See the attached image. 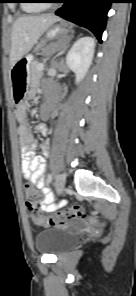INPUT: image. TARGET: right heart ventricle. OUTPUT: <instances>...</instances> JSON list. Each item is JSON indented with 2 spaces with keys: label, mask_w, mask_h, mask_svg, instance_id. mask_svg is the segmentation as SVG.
<instances>
[{
  "label": "right heart ventricle",
  "mask_w": 136,
  "mask_h": 296,
  "mask_svg": "<svg viewBox=\"0 0 136 296\" xmlns=\"http://www.w3.org/2000/svg\"><path fill=\"white\" fill-rule=\"evenodd\" d=\"M36 2H39V0H25L22 4V9L28 13L41 11L43 9V4Z\"/></svg>",
  "instance_id": "1"
}]
</instances>
